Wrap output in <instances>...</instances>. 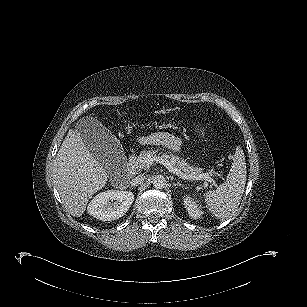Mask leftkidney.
<instances>
[{
  "label": "left kidney",
  "instance_id": "1",
  "mask_svg": "<svg viewBox=\"0 0 307 307\" xmlns=\"http://www.w3.org/2000/svg\"><path fill=\"white\" fill-rule=\"evenodd\" d=\"M184 206L189 214V216L193 219H198L203 215V211L200 210V206L197 204V201L189 195L184 196L183 199Z\"/></svg>",
  "mask_w": 307,
  "mask_h": 307
}]
</instances>
